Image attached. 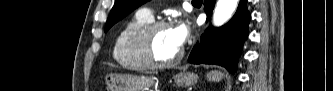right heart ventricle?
Masks as SVG:
<instances>
[{
  "mask_svg": "<svg viewBox=\"0 0 333 91\" xmlns=\"http://www.w3.org/2000/svg\"><path fill=\"white\" fill-rule=\"evenodd\" d=\"M150 22V18L138 12L118 31L113 44L112 56L122 68L134 71L147 69L134 51L133 37L140 28Z\"/></svg>",
  "mask_w": 333,
  "mask_h": 91,
  "instance_id": "e07e8e85",
  "label": "right heart ventricle"
}]
</instances>
